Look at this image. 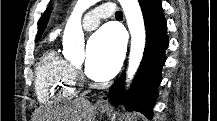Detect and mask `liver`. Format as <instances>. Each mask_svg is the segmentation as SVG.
I'll use <instances>...</instances> for the list:
<instances>
[{"label": "liver", "instance_id": "1", "mask_svg": "<svg viewBox=\"0 0 217 121\" xmlns=\"http://www.w3.org/2000/svg\"><path fill=\"white\" fill-rule=\"evenodd\" d=\"M40 121H95V108L87 100L77 99L70 104L40 111Z\"/></svg>", "mask_w": 217, "mask_h": 121}]
</instances>
